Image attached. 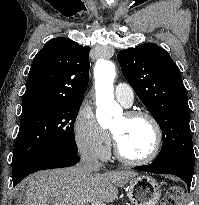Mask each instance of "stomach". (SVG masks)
<instances>
[{
  "label": "stomach",
  "mask_w": 199,
  "mask_h": 205,
  "mask_svg": "<svg viewBox=\"0 0 199 205\" xmlns=\"http://www.w3.org/2000/svg\"><path fill=\"white\" fill-rule=\"evenodd\" d=\"M162 196V187L146 175L129 180L128 197L133 205H156Z\"/></svg>",
  "instance_id": "1"
}]
</instances>
